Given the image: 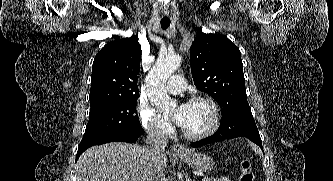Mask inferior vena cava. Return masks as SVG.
Returning a JSON list of instances; mask_svg holds the SVG:
<instances>
[{
	"label": "inferior vena cava",
	"instance_id": "obj_1",
	"mask_svg": "<svg viewBox=\"0 0 333 181\" xmlns=\"http://www.w3.org/2000/svg\"><path fill=\"white\" fill-rule=\"evenodd\" d=\"M168 142L166 132L158 126L147 129L148 172L147 181H166L160 166V158L163 155L162 147Z\"/></svg>",
	"mask_w": 333,
	"mask_h": 181
}]
</instances>
